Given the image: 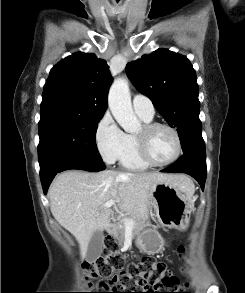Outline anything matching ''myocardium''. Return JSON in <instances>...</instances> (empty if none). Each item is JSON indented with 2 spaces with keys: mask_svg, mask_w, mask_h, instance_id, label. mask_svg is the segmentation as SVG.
I'll use <instances>...</instances> for the list:
<instances>
[{
  "mask_svg": "<svg viewBox=\"0 0 245 293\" xmlns=\"http://www.w3.org/2000/svg\"><path fill=\"white\" fill-rule=\"evenodd\" d=\"M157 128H165L169 130L174 136L175 146H176L173 157L165 162H160V163L155 162L149 156L148 149H147V138H146V136L149 133H151L153 130ZM142 130H143V135L141 136L136 135L135 140H136V148H137L138 155L144 163L148 164L151 167H165V166L171 165L172 163L178 160L182 151V141L178 131L174 127L166 123L150 122V123L144 124L142 127Z\"/></svg>",
  "mask_w": 245,
  "mask_h": 293,
  "instance_id": "myocardium-1",
  "label": "myocardium"
}]
</instances>
